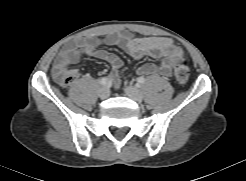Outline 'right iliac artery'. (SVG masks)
<instances>
[{
	"instance_id": "obj_1",
	"label": "right iliac artery",
	"mask_w": 246,
	"mask_h": 181,
	"mask_svg": "<svg viewBox=\"0 0 246 181\" xmlns=\"http://www.w3.org/2000/svg\"><path fill=\"white\" fill-rule=\"evenodd\" d=\"M109 83H110V80H109V78H107V77H103V78L100 79V84H101L102 86H105V85H107V84H109Z\"/></svg>"
}]
</instances>
